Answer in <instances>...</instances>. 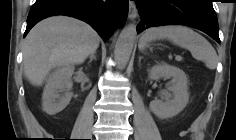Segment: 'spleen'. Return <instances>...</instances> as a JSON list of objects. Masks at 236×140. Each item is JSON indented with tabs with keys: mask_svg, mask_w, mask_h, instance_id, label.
Returning <instances> with one entry per match:
<instances>
[{
	"mask_svg": "<svg viewBox=\"0 0 236 140\" xmlns=\"http://www.w3.org/2000/svg\"><path fill=\"white\" fill-rule=\"evenodd\" d=\"M160 39H168L172 43L188 49L195 59L203 61L209 69L216 68V51L202 35L192 29L180 25L150 28L142 35L139 49L144 50L148 42Z\"/></svg>",
	"mask_w": 236,
	"mask_h": 140,
	"instance_id": "spleen-1",
	"label": "spleen"
}]
</instances>
